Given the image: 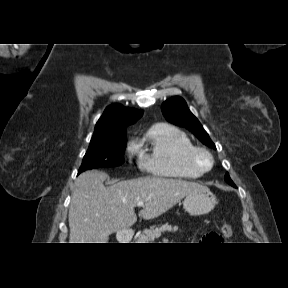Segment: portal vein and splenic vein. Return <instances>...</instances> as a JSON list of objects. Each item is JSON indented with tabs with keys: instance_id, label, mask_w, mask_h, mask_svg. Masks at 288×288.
I'll return each instance as SVG.
<instances>
[{
	"instance_id": "obj_1",
	"label": "portal vein and splenic vein",
	"mask_w": 288,
	"mask_h": 288,
	"mask_svg": "<svg viewBox=\"0 0 288 288\" xmlns=\"http://www.w3.org/2000/svg\"><path fill=\"white\" fill-rule=\"evenodd\" d=\"M138 207H141V206H143L144 205V203L143 202H141V201H139V202H137V204H136Z\"/></svg>"
}]
</instances>
